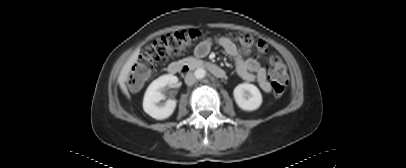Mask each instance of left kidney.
<instances>
[{
    "label": "left kidney",
    "mask_w": 406,
    "mask_h": 168,
    "mask_svg": "<svg viewBox=\"0 0 406 168\" xmlns=\"http://www.w3.org/2000/svg\"><path fill=\"white\" fill-rule=\"evenodd\" d=\"M233 95L238 107L245 111L257 110L262 104V95L253 84L242 83L237 85Z\"/></svg>",
    "instance_id": "left-kidney-1"
}]
</instances>
